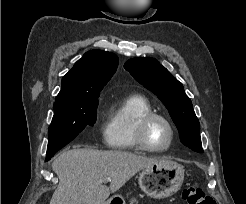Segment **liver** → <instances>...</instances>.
I'll return each instance as SVG.
<instances>
[{
    "label": "liver",
    "instance_id": "1",
    "mask_svg": "<svg viewBox=\"0 0 246 204\" xmlns=\"http://www.w3.org/2000/svg\"><path fill=\"white\" fill-rule=\"evenodd\" d=\"M126 151L72 149L64 151L52 163L59 185L50 204H105L131 177L158 162ZM110 178V186L103 184Z\"/></svg>",
    "mask_w": 246,
    "mask_h": 204
}]
</instances>
